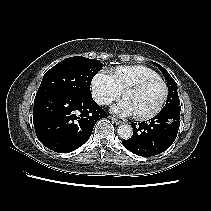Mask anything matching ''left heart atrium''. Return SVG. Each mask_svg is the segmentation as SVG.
<instances>
[{
	"label": "left heart atrium",
	"mask_w": 211,
	"mask_h": 211,
	"mask_svg": "<svg viewBox=\"0 0 211 211\" xmlns=\"http://www.w3.org/2000/svg\"><path fill=\"white\" fill-rule=\"evenodd\" d=\"M112 112L121 117L134 115V109L126 98L115 104L112 107Z\"/></svg>",
	"instance_id": "obj_1"
}]
</instances>
